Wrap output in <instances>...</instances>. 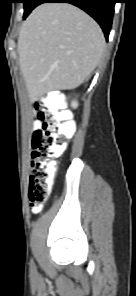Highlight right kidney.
<instances>
[{
    "label": "right kidney",
    "instance_id": "right-kidney-1",
    "mask_svg": "<svg viewBox=\"0 0 136 296\" xmlns=\"http://www.w3.org/2000/svg\"><path fill=\"white\" fill-rule=\"evenodd\" d=\"M77 106H78V102H77L76 100H73V101L71 102V107H72V108H77Z\"/></svg>",
    "mask_w": 136,
    "mask_h": 296
}]
</instances>
